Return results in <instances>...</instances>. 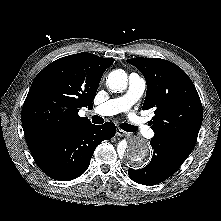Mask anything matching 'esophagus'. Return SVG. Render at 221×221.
I'll use <instances>...</instances> for the list:
<instances>
[{
    "mask_svg": "<svg viewBox=\"0 0 221 221\" xmlns=\"http://www.w3.org/2000/svg\"><path fill=\"white\" fill-rule=\"evenodd\" d=\"M116 135L119 136V137H124V136L127 135V133L125 131H123L122 129L117 128L116 129Z\"/></svg>",
    "mask_w": 221,
    "mask_h": 221,
    "instance_id": "34e87169",
    "label": "esophagus"
}]
</instances>
